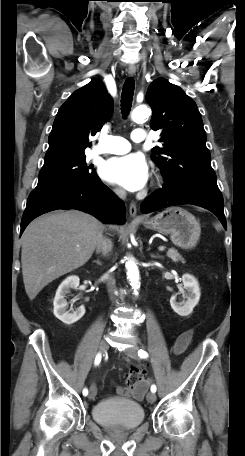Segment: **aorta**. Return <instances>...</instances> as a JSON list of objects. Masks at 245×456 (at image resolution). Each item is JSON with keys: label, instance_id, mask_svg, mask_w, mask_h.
Returning a JSON list of instances; mask_svg holds the SVG:
<instances>
[{"label": "aorta", "instance_id": "aorta-1", "mask_svg": "<svg viewBox=\"0 0 245 456\" xmlns=\"http://www.w3.org/2000/svg\"><path fill=\"white\" fill-rule=\"evenodd\" d=\"M150 114L151 110L146 105H140L133 110L131 118L133 121L137 122L149 117ZM125 266L127 269V278L130 281L131 286L134 288L135 293L137 294L136 290L140 286V277L137 264L133 258H128Z\"/></svg>", "mask_w": 245, "mask_h": 456}]
</instances>
